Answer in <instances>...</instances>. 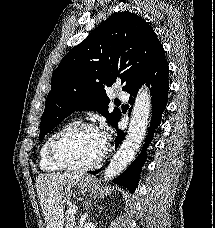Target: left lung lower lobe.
I'll list each match as a JSON object with an SVG mask.
<instances>
[{
    "label": "left lung lower lobe",
    "mask_w": 215,
    "mask_h": 228,
    "mask_svg": "<svg viewBox=\"0 0 215 228\" xmlns=\"http://www.w3.org/2000/svg\"><path fill=\"white\" fill-rule=\"evenodd\" d=\"M168 73V63L165 59V51L162 48L158 52L146 74L129 91V93L131 94L129 103L131 104L134 102V98L136 97L139 88L144 83H146L150 88L152 96L151 125L149 127V132L142 152L140 153L138 158L123 172V174L113 180L115 184L127 188L131 193H133L137 188L141 168L143 167L147 157L146 147L152 141L153 133L155 129L160 125L162 113L166 108L169 92ZM115 128L118 131V137L115 141V148H117L124 138V133L118 129V124ZM100 170L101 169L96 171H90L88 173L97 174L100 172Z\"/></svg>",
    "instance_id": "obj_1"
}]
</instances>
